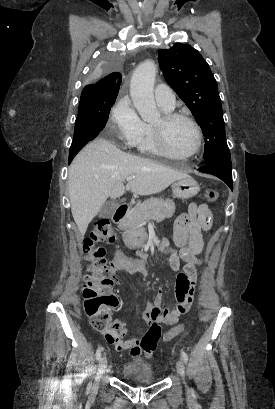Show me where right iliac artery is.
I'll return each mask as SVG.
<instances>
[{"label":"right iliac artery","instance_id":"1","mask_svg":"<svg viewBox=\"0 0 275 409\" xmlns=\"http://www.w3.org/2000/svg\"><path fill=\"white\" fill-rule=\"evenodd\" d=\"M103 348L101 346H98V349L96 351V360H100L101 358V352H102Z\"/></svg>","mask_w":275,"mask_h":409}]
</instances>
